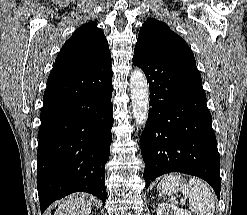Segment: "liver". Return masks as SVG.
Segmentation results:
<instances>
[{"label":"liver","instance_id":"6515ba94","mask_svg":"<svg viewBox=\"0 0 247 215\" xmlns=\"http://www.w3.org/2000/svg\"><path fill=\"white\" fill-rule=\"evenodd\" d=\"M93 201L88 194L76 193L60 204L54 215H89Z\"/></svg>","mask_w":247,"mask_h":215}]
</instances>
